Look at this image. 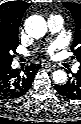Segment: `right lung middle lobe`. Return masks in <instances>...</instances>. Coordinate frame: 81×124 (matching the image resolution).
<instances>
[{
	"label": "right lung middle lobe",
	"instance_id": "right-lung-middle-lobe-1",
	"mask_svg": "<svg viewBox=\"0 0 81 124\" xmlns=\"http://www.w3.org/2000/svg\"><path fill=\"white\" fill-rule=\"evenodd\" d=\"M18 46V42L16 41H6L0 47V62L4 64H8L12 62L13 55L12 52H15L16 47Z\"/></svg>",
	"mask_w": 81,
	"mask_h": 124
}]
</instances>
